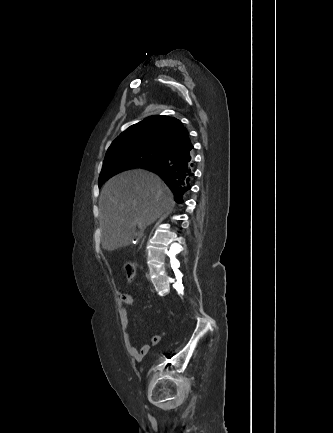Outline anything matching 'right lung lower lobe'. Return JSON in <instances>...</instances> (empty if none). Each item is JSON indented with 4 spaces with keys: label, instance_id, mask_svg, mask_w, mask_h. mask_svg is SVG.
<instances>
[{
    "label": "right lung lower lobe",
    "instance_id": "obj_1",
    "mask_svg": "<svg viewBox=\"0 0 333 433\" xmlns=\"http://www.w3.org/2000/svg\"><path fill=\"white\" fill-rule=\"evenodd\" d=\"M193 163V145L190 144L169 153L160 162L146 169L158 174L173 191L175 200L183 203V194L191 189Z\"/></svg>",
    "mask_w": 333,
    "mask_h": 433
}]
</instances>
